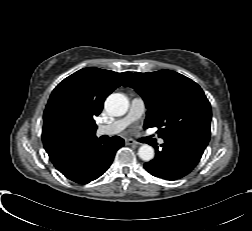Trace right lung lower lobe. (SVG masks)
Listing matches in <instances>:
<instances>
[{
  "label": "right lung lower lobe",
  "instance_id": "right-lung-lower-lobe-1",
  "mask_svg": "<svg viewBox=\"0 0 252 231\" xmlns=\"http://www.w3.org/2000/svg\"><path fill=\"white\" fill-rule=\"evenodd\" d=\"M123 145L124 140L118 136L108 142H101L96 136L81 139L73 146L70 158L59 171L76 183L87 184L109 168L116 151Z\"/></svg>",
  "mask_w": 252,
  "mask_h": 231
}]
</instances>
